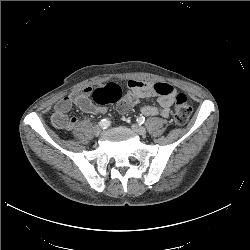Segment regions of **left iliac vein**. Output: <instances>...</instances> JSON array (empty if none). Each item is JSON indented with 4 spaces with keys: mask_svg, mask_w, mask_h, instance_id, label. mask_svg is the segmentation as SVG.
Wrapping results in <instances>:
<instances>
[{
    "mask_svg": "<svg viewBox=\"0 0 250 250\" xmlns=\"http://www.w3.org/2000/svg\"><path fill=\"white\" fill-rule=\"evenodd\" d=\"M131 128L135 133L141 136H144L147 133L146 129L138 124H132Z\"/></svg>",
    "mask_w": 250,
    "mask_h": 250,
    "instance_id": "1",
    "label": "left iliac vein"
}]
</instances>
